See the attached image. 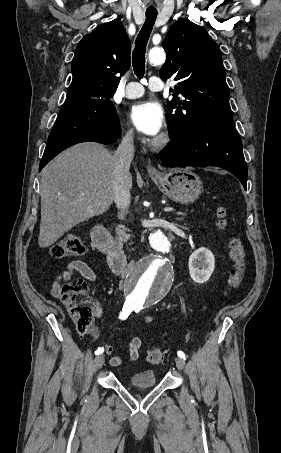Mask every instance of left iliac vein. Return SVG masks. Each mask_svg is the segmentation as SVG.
Wrapping results in <instances>:
<instances>
[{"mask_svg": "<svg viewBox=\"0 0 281 453\" xmlns=\"http://www.w3.org/2000/svg\"><path fill=\"white\" fill-rule=\"evenodd\" d=\"M175 361H176V367H178L180 370H182L183 372L186 370L185 369V363H184V360L182 357H175Z\"/></svg>", "mask_w": 281, "mask_h": 453, "instance_id": "1", "label": "left iliac vein"}]
</instances>
